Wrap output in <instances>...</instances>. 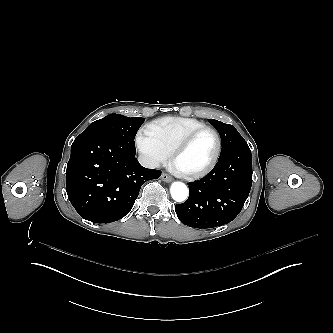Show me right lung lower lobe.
Returning <instances> with one entry per match:
<instances>
[{
    "instance_id": "obj_1",
    "label": "right lung lower lobe",
    "mask_w": 333,
    "mask_h": 333,
    "mask_svg": "<svg viewBox=\"0 0 333 333\" xmlns=\"http://www.w3.org/2000/svg\"><path fill=\"white\" fill-rule=\"evenodd\" d=\"M135 146L103 133L79 135L71 145L66 192L78 214L94 223L126 216L142 184L161 171L141 166Z\"/></svg>"
}]
</instances>
